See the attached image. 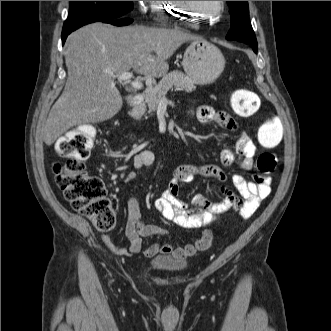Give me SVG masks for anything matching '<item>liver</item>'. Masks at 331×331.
Here are the masks:
<instances>
[{"label":"liver","mask_w":331,"mask_h":331,"mask_svg":"<svg viewBox=\"0 0 331 331\" xmlns=\"http://www.w3.org/2000/svg\"><path fill=\"white\" fill-rule=\"evenodd\" d=\"M201 38L181 30L92 23L66 42L68 77L43 129L47 146L71 127L111 119L123 100L113 76L133 69L149 78L169 70L167 60L187 41Z\"/></svg>","instance_id":"obj_1"}]
</instances>
